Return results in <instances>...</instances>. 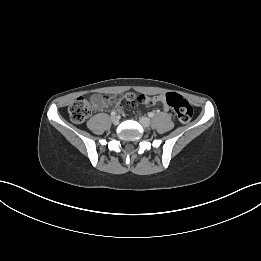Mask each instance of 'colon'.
<instances>
[{
	"label": "colon",
	"instance_id": "obj_1",
	"mask_svg": "<svg viewBox=\"0 0 261 261\" xmlns=\"http://www.w3.org/2000/svg\"><path fill=\"white\" fill-rule=\"evenodd\" d=\"M165 101L181 123H187L191 120L193 107L183 96L170 92L165 95ZM91 111L92 103L83 97L73 101L68 109L69 116L75 123L84 122L90 116Z\"/></svg>",
	"mask_w": 261,
	"mask_h": 261
}]
</instances>
